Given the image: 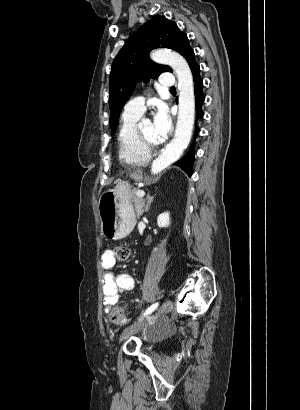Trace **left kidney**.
Masks as SVG:
<instances>
[{
	"instance_id": "1",
	"label": "left kidney",
	"mask_w": 300,
	"mask_h": 410,
	"mask_svg": "<svg viewBox=\"0 0 300 410\" xmlns=\"http://www.w3.org/2000/svg\"><path fill=\"white\" fill-rule=\"evenodd\" d=\"M157 224L159 227H167L170 224L169 212H164L160 214L157 218Z\"/></svg>"
}]
</instances>
